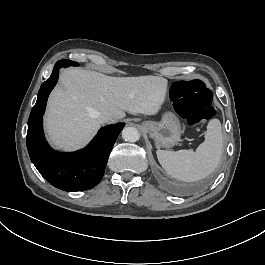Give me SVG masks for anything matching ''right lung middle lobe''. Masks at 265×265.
Here are the masks:
<instances>
[{
	"instance_id": "obj_1",
	"label": "right lung middle lobe",
	"mask_w": 265,
	"mask_h": 265,
	"mask_svg": "<svg viewBox=\"0 0 265 265\" xmlns=\"http://www.w3.org/2000/svg\"><path fill=\"white\" fill-rule=\"evenodd\" d=\"M60 62L66 63V66H70V65L78 66V63L70 61V60H66V59H62L60 60Z\"/></svg>"
}]
</instances>
